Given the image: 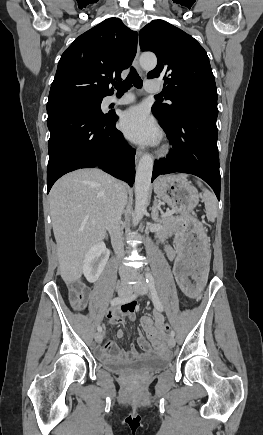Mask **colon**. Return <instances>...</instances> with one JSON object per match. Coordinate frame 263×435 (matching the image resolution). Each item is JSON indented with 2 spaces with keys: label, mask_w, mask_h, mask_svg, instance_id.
Here are the masks:
<instances>
[{
  "label": "colon",
  "mask_w": 263,
  "mask_h": 435,
  "mask_svg": "<svg viewBox=\"0 0 263 435\" xmlns=\"http://www.w3.org/2000/svg\"><path fill=\"white\" fill-rule=\"evenodd\" d=\"M88 291L85 284L81 281H73L69 283V298L72 306L76 310H82L85 307ZM171 325L165 326V335H170ZM150 341V339H149ZM151 342V341H150Z\"/></svg>",
  "instance_id": "colon-1"
}]
</instances>
